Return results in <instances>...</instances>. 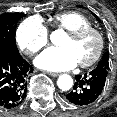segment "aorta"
I'll return each instance as SVG.
<instances>
[{"mask_svg": "<svg viewBox=\"0 0 117 117\" xmlns=\"http://www.w3.org/2000/svg\"><path fill=\"white\" fill-rule=\"evenodd\" d=\"M58 36V31L54 32L51 35V39L52 41H54V39ZM57 85L58 87L62 90V91H68L72 88L73 86V79L70 75L68 74H63L61 76H59L58 80H57Z\"/></svg>", "mask_w": 117, "mask_h": 117, "instance_id": "762f6f07", "label": "aorta"}]
</instances>
